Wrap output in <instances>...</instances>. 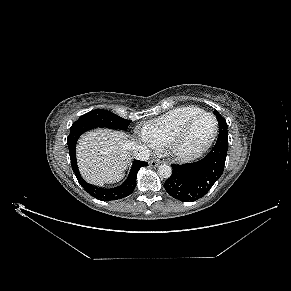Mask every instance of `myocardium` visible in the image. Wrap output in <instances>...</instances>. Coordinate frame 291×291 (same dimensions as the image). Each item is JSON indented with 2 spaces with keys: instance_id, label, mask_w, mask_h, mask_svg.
Instances as JSON below:
<instances>
[{
  "instance_id": "obj_1",
  "label": "myocardium",
  "mask_w": 291,
  "mask_h": 291,
  "mask_svg": "<svg viewBox=\"0 0 291 291\" xmlns=\"http://www.w3.org/2000/svg\"><path fill=\"white\" fill-rule=\"evenodd\" d=\"M209 116L213 118L215 127L212 136L209 138V140L199 149L191 152H186L183 151L181 148V145L187 136L190 128L193 126V124L198 121L200 118ZM218 130H219V124L216 116L212 113L209 112H203L200 113L193 118H191L188 122H186L182 128L170 139V141L167 144L168 150L170 154L177 160L182 161V162H188L192 161L194 159L199 158L202 156L204 153L208 151V149L212 146L214 143L217 135H218Z\"/></svg>"
}]
</instances>
